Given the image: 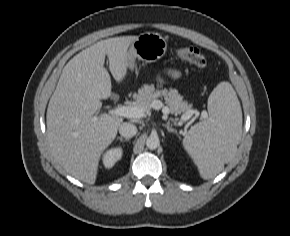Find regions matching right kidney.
<instances>
[{
    "instance_id": "ca27d5eb",
    "label": "right kidney",
    "mask_w": 290,
    "mask_h": 236,
    "mask_svg": "<svg viewBox=\"0 0 290 236\" xmlns=\"http://www.w3.org/2000/svg\"><path fill=\"white\" fill-rule=\"evenodd\" d=\"M123 150L121 147H115L107 150L103 155V165L105 168H112L115 163L121 159Z\"/></svg>"
}]
</instances>
